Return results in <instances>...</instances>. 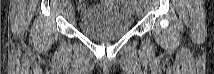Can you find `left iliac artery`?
Here are the masks:
<instances>
[{
	"mask_svg": "<svg viewBox=\"0 0 214 74\" xmlns=\"http://www.w3.org/2000/svg\"><path fill=\"white\" fill-rule=\"evenodd\" d=\"M140 6H142V1H139Z\"/></svg>",
	"mask_w": 214,
	"mask_h": 74,
	"instance_id": "obj_1",
	"label": "left iliac artery"
}]
</instances>
